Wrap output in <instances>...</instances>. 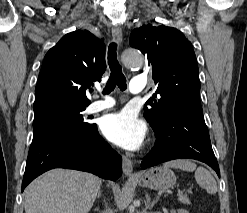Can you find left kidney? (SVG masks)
I'll use <instances>...</instances> for the list:
<instances>
[{
  "mask_svg": "<svg viewBox=\"0 0 247 213\" xmlns=\"http://www.w3.org/2000/svg\"><path fill=\"white\" fill-rule=\"evenodd\" d=\"M178 213H189V212L186 210H179Z\"/></svg>",
  "mask_w": 247,
  "mask_h": 213,
  "instance_id": "1",
  "label": "left kidney"
}]
</instances>
